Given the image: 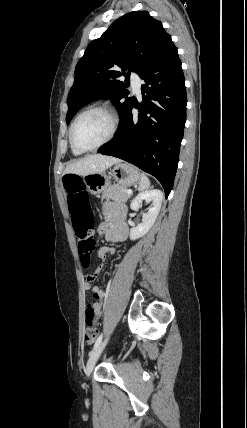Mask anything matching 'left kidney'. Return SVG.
Returning a JSON list of instances; mask_svg holds the SVG:
<instances>
[{"label":"left kidney","mask_w":247,"mask_h":428,"mask_svg":"<svg viewBox=\"0 0 247 428\" xmlns=\"http://www.w3.org/2000/svg\"><path fill=\"white\" fill-rule=\"evenodd\" d=\"M163 194L159 189L139 193L131 202V209L137 211L143 201L152 202L147 212L142 213V223L130 229V239L136 240L145 235L153 226L159 214Z\"/></svg>","instance_id":"1"}]
</instances>
